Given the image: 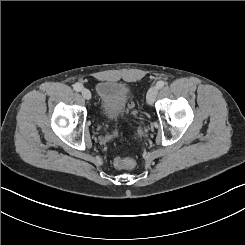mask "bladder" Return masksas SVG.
<instances>
[{
	"mask_svg": "<svg viewBox=\"0 0 245 245\" xmlns=\"http://www.w3.org/2000/svg\"><path fill=\"white\" fill-rule=\"evenodd\" d=\"M97 95L107 119H119L126 109L125 84L102 80L97 85Z\"/></svg>",
	"mask_w": 245,
	"mask_h": 245,
	"instance_id": "obj_1",
	"label": "bladder"
}]
</instances>
